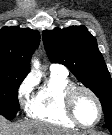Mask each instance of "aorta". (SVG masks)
I'll return each mask as SVG.
<instances>
[{"mask_svg": "<svg viewBox=\"0 0 112 135\" xmlns=\"http://www.w3.org/2000/svg\"><path fill=\"white\" fill-rule=\"evenodd\" d=\"M32 65H33V67H34L35 70H38L40 68V63L36 59H33L32 60Z\"/></svg>", "mask_w": 112, "mask_h": 135, "instance_id": "aorta-1", "label": "aorta"}]
</instances>
